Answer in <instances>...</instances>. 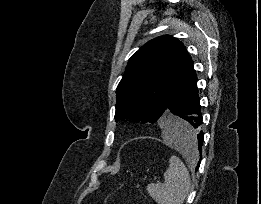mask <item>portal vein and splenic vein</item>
Listing matches in <instances>:
<instances>
[{"mask_svg": "<svg viewBox=\"0 0 261 204\" xmlns=\"http://www.w3.org/2000/svg\"><path fill=\"white\" fill-rule=\"evenodd\" d=\"M157 184H160V181H157Z\"/></svg>", "mask_w": 261, "mask_h": 204, "instance_id": "obj_1", "label": "portal vein and splenic vein"}]
</instances>
